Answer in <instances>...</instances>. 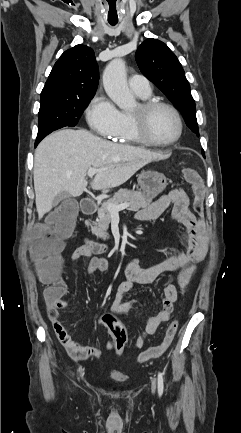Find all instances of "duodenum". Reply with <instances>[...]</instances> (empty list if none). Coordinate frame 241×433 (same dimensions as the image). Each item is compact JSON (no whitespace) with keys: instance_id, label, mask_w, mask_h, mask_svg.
I'll return each mask as SVG.
<instances>
[{"instance_id":"1","label":"duodenum","mask_w":241,"mask_h":433,"mask_svg":"<svg viewBox=\"0 0 241 433\" xmlns=\"http://www.w3.org/2000/svg\"><path fill=\"white\" fill-rule=\"evenodd\" d=\"M80 208L82 213H84L85 215H91L95 212L96 205L91 198H83L81 200ZM85 245L94 253H100L104 249L103 245L93 241H86Z\"/></svg>"}]
</instances>
